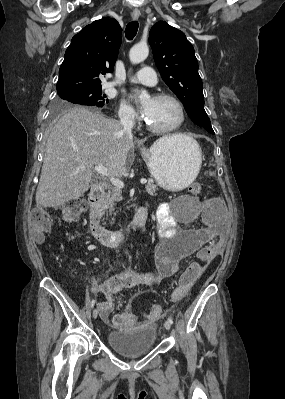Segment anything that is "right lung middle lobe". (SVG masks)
Returning a JSON list of instances; mask_svg holds the SVG:
<instances>
[{
	"mask_svg": "<svg viewBox=\"0 0 285 399\" xmlns=\"http://www.w3.org/2000/svg\"><path fill=\"white\" fill-rule=\"evenodd\" d=\"M58 97L54 105V113L75 105L103 107L109 102L106 95L102 93L101 87L90 89H68L57 92Z\"/></svg>",
	"mask_w": 285,
	"mask_h": 399,
	"instance_id": "right-lung-middle-lobe-1",
	"label": "right lung middle lobe"
}]
</instances>
